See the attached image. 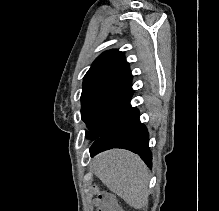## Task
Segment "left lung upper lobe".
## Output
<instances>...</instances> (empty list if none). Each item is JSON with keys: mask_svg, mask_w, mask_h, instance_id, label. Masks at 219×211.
<instances>
[{"mask_svg": "<svg viewBox=\"0 0 219 211\" xmlns=\"http://www.w3.org/2000/svg\"><path fill=\"white\" fill-rule=\"evenodd\" d=\"M132 74L124 53L108 50L91 65L83 80L81 117L95 141L106 135L132 108Z\"/></svg>", "mask_w": 219, "mask_h": 211, "instance_id": "left-lung-upper-lobe-1", "label": "left lung upper lobe"}]
</instances>
